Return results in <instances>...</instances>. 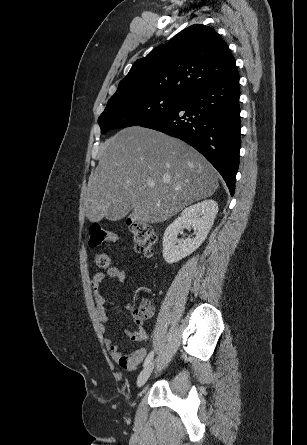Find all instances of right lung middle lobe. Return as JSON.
Wrapping results in <instances>:
<instances>
[{"mask_svg": "<svg viewBox=\"0 0 307 445\" xmlns=\"http://www.w3.org/2000/svg\"><path fill=\"white\" fill-rule=\"evenodd\" d=\"M183 98L184 96L163 94L113 96L98 118L101 133L156 119L174 109Z\"/></svg>", "mask_w": 307, "mask_h": 445, "instance_id": "1", "label": "right lung middle lobe"}]
</instances>
